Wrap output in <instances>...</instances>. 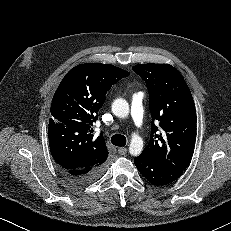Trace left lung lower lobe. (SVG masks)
Returning a JSON list of instances; mask_svg holds the SVG:
<instances>
[{"instance_id": "0a47b994", "label": "left lung lower lobe", "mask_w": 231, "mask_h": 231, "mask_svg": "<svg viewBox=\"0 0 231 231\" xmlns=\"http://www.w3.org/2000/svg\"><path fill=\"white\" fill-rule=\"evenodd\" d=\"M134 163L139 172L156 186L166 185L176 180L184 171L161 166L142 154L134 158Z\"/></svg>"}]
</instances>
